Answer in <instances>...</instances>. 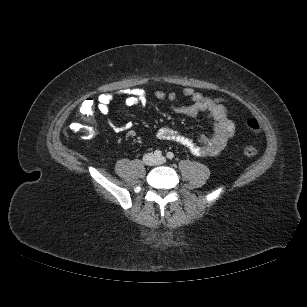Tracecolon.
Masks as SVG:
<instances>
[{
    "instance_id": "obj_1",
    "label": "colon",
    "mask_w": 307,
    "mask_h": 307,
    "mask_svg": "<svg viewBox=\"0 0 307 307\" xmlns=\"http://www.w3.org/2000/svg\"><path fill=\"white\" fill-rule=\"evenodd\" d=\"M216 103H223V99H212ZM96 104L91 98L85 100L80 107V120L72 124V129L74 131L83 132L88 138H92L96 134L95 126L92 122V118L95 113ZM247 127L255 133L260 132L261 126L255 118H250L247 121ZM243 153L248 157H253L258 154L256 147L252 145H247L243 148Z\"/></svg>"
}]
</instances>
